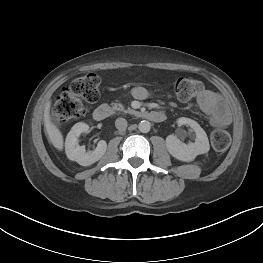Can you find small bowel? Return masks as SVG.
I'll return each instance as SVG.
<instances>
[{
	"label": "small bowel",
	"instance_id": "small-bowel-1",
	"mask_svg": "<svg viewBox=\"0 0 263 263\" xmlns=\"http://www.w3.org/2000/svg\"><path fill=\"white\" fill-rule=\"evenodd\" d=\"M131 96L137 100H144L150 96V91L145 87L137 86L131 90ZM196 106L199 111L210 118L213 126L227 127L231 122L222 98L213 90L201 92L197 97Z\"/></svg>",
	"mask_w": 263,
	"mask_h": 263
}]
</instances>
